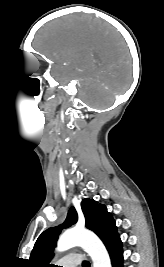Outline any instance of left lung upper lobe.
Returning <instances> with one entry per match:
<instances>
[{
	"mask_svg": "<svg viewBox=\"0 0 164 267\" xmlns=\"http://www.w3.org/2000/svg\"><path fill=\"white\" fill-rule=\"evenodd\" d=\"M81 208L85 216L86 227L97 234L103 242L117 229L115 221L105 205L98 204L91 199H83ZM77 220V212L74 207H71L62 225L44 231L34 245L29 259L30 265L32 267H53L49 261L53 256V249L62 228L75 224Z\"/></svg>",
	"mask_w": 164,
	"mask_h": 267,
	"instance_id": "5c2ea615",
	"label": "left lung upper lobe"
}]
</instances>
